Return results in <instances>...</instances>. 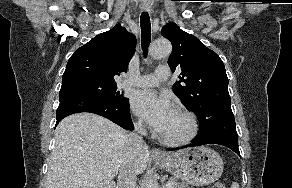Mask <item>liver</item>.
<instances>
[{"label": "liver", "mask_w": 292, "mask_h": 188, "mask_svg": "<svg viewBox=\"0 0 292 188\" xmlns=\"http://www.w3.org/2000/svg\"><path fill=\"white\" fill-rule=\"evenodd\" d=\"M127 138L125 130L101 116L77 113L66 117L55 131L47 188H107L130 158L136 174L143 173L149 149L144 146L130 152Z\"/></svg>", "instance_id": "liver-1"}]
</instances>
